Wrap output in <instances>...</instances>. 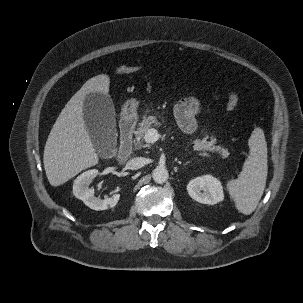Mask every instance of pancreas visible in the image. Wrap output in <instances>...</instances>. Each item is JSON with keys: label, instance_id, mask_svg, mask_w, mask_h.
Returning <instances> with one entry per match:
<instances>
[{"label": "pancreas", "instance_id": "1", "mask_svg": "<svg viewBox=\"0 0 303 303\" xmlns=\"http://www.w3.org/2000/svg\"><path fill=\"white\" fill-rule=\"evenodd\" d=\"M161 123L157 120L156 116H147L144 115L143 120L139 123L138 129L135 131L136 136V147L138 149L142 148V141L144 139L145 133L153 127H160ZM193 148L196 151H219L223 156H226L227 150L221 148V146H215L216 140L211 139V141H207V137H204L202 140L196 139L192 142Z\"/></svg>", "mask_w": 303, "mask_h": 303}]
</instances>
